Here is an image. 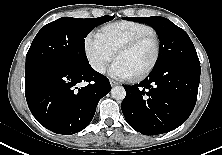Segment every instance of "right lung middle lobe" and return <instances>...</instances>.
Returning <instances> with one entry per match:
<instances>
[{"mask_svg": "<svg viewBox=\"0 0 222 155\" xmlns=\"http://www.w3.org/2000/svg\"><path fill=\"white\" fill-rule=\"evenodd\" d=\"M114 16L79 19L59 18L40 29L26 55L25 76L50 66L79 67L88 65L84 38L96 26Z\"/></svg>", "mask_w": 222, "mask_h": 155, "instance_id": "dd1d6c3e", "label": "right lung middle lobe"}]
</instances>
